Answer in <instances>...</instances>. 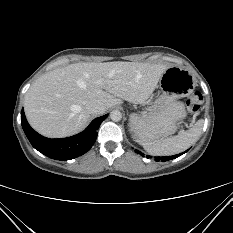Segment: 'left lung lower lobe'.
Here are the masks:
<instances>
[{
    "label": "left lung lower lobe",
    "instance_id": "0a47b994",
    "mask_svg": "<svg viewBox=\"0 0 233 233\" xmlns=\"http://www.w3.org/2000/svg\"><path fill=\"white\" fill-rule=\"evenodd\" d=\"M135 152H137L138 154L144 156V154L142 152H140L139 150H135ZM183 153L181 154H177V155H173V156H166V157H155V160L156 161H168V160H171V159H174V158H177L179 157L180 155H182ZM150 156H147V158H149Z\"/></svg>",
    "mask_w": 233,
    "mask_h": 233
}]
</instances>
